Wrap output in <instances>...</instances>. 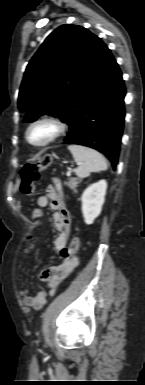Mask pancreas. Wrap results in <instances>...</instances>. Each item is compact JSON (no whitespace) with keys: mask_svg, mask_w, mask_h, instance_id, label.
<instances>
[{"mask_svg":"<svg viewBox=\"0 0 145 385\" xmlns=\"http://www.w3.org/2000/svg\"><path fill=\"white\" fill-rule=\"evenodd\" d=\"M81 182V180H79L78 178H70L68 183H67V186L73 190L74 192H77V186L78 184Z\"/></svg>","mask_w":145,"mask_h":385,"instance_id":"cf45deb5","label":"pancreas"}]
</instances>
